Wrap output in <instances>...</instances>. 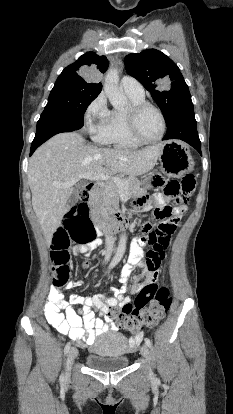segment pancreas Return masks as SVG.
I'll list each match as a JSON object with an SVG mask.
<instances>
[{
  "mask_svg": "<svg viewBox=\"0 0 233 414\" xmlns=\"http://www.w3.org/2000/svg\"><path fill=\"white\" fill-rule=\"evenodd\" d=\"M121 179L127 182V189H122L110 181L106 182V184L102 188L99 200L102 206L101 212L105 216L114 214L115 211L118 209L120 193H124L127 196H132L133 193L142 192V189L140 188L141 183L136 177L129 176Z\"/></svg>",
  "mask_w": 233,
  "mask_h": 414,
  "instance_id": "cf45deb5",
  "label": "pancreas"
}]
</instances>
